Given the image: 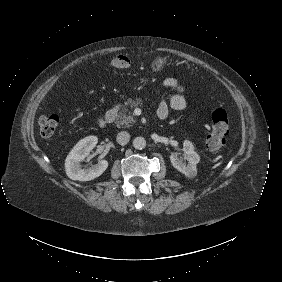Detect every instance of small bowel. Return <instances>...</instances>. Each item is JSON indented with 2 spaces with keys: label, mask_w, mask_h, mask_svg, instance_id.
Returning <instances> with one entry per match:
<instances>
[{
  "label": "small bowel",
  "mask_w": 282,
  "mask_h": 282,
  "mask_svg": "<svg viewBox=\"0 0 282 282\" xmlns=\"http://www.w3.org/2000/svg\"><path fill=\"white\" fill-rule=\"evenodd\" d=\"M161 88L175 91L169 101L162 100L157 109V116L166 119L169 114V106L175 110H183L187 106L186 89L183 83L176 77H166L161 82Z\"/></svg>",
  "instance_id": "1"
}]
</instances>
